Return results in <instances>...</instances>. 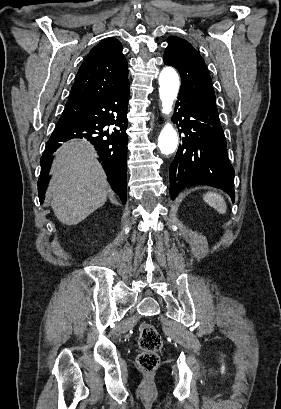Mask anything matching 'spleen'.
<instances>
[{
	"instance_id": "1",
	"label": "spleen",
	"mask_w": 281,
	"mask_h": 409,
	"mask_svg": "<svg viewBox=\"0 0 281 409\" xmlns=\"http://www.w3.org/2000/svg\"><path fill=\"white\" fill-rule=\"evenodd\" d=\"M203 200L207 202V205L216 209L220 215H224L227 211L226 200L223 198L222 194H218V192H205L203 194Z\"/></svg>"
}]
</instances>
